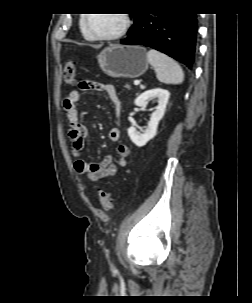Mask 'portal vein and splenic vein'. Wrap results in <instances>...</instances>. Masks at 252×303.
<instances>
[{
    "label": "portal vein and splenic vein",
    "mask_w": 252,
    "mask_h": 303,
    "mask_svg": "<svg viewBox=\"0 0 252 303\" xmlns=\"http://www.w3.org/2000/svg\"><path fill=\"white\" fill-rule=\"evenodd\" d=\"M140 84V81L139 80H135L134 81V85H139Z\"/></svg>",
    "instance_id": "obj_1"
}]
</instances>
